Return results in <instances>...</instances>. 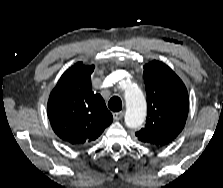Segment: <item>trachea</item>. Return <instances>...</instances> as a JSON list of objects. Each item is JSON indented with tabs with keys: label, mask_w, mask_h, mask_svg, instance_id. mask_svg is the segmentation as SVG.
I'll use <instances>...</instances> for the list:
<instances>
[{
	"label": "trachea",
	"mask_w": 223,
	"mask_h": 188,
	"mask_svg": "<svg viewBox=\"0 0 223 188\" xmlns=\"http://www.w3.org/2000/svg\"><path fill=\"white\" fill-rule=\"evenodd\" d=\"M108 107L113 112H118L122 109V101L118 96L112 97L108 102Z\"/></svg>",
	"instance_id": "1"
}]
</instances>
